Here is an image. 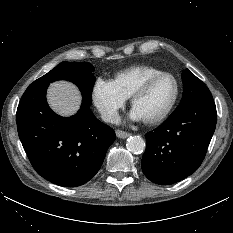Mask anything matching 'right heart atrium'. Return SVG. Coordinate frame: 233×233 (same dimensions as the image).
Instances as JSON below:
<instances>
[{
    "label": "right heart atrium",
    "instance_id": "right-heart-atrium-1",
    "mask_svg": "<svg viewBox=\"0 0 233 233\" xmlns=\"http://www.w3.org/2000/svg\"><path fill=\"white\" fill-rule=\"evenodd\" d=\"M92 101L102 118L110 123L117 121L119 111L126 99L118 92L109 80L98 78L92 88Z\"/></svg>",
    "mask_w": 233,
    "mask_h": 233
}]
</instances>
